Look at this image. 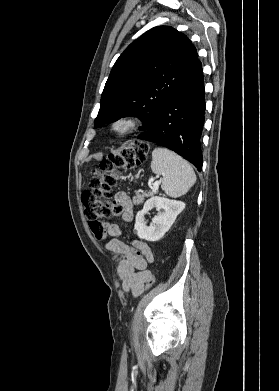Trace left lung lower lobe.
<instances>
[{"mask_svg": "<svg viewBox=\"0 0 279 391\" xmlns=\"http://www.w3.org/2000/svg\"><path fill=\"white\" fill-rule=\"evenodd\" d=\"M205 90L202 64L170 98L153 125L139 139L165 146L202 169L201 133L204 124Z\"/></svg>", "mask_w": 279, "mask_h": 391, "instance_id": "left-lung-lower-lobe-1", "label": "left lung lower lobe"}]
</instances>
